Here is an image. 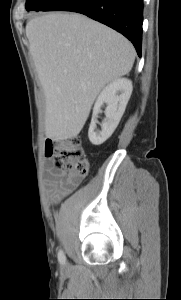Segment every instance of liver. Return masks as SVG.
Returning <instances> with one entry per match:
<instances>
[{
	"mask_svg": "<svg viewBox=\"0 0 181 300\" xmlns=\"http://www.w3.org/2000/svg\"><path fill=\"white\" fill-rule=\"evenodd\" d=\"M26 36L45 95L46 137H76L100 91L130 72L135 49L120 33L78 13L35 17Z\"/></svg>",
	"mask_w": 181,
	"mask_h": 300,
	"instance_id": "1",
	"label": "liver"
}]
</instances>
